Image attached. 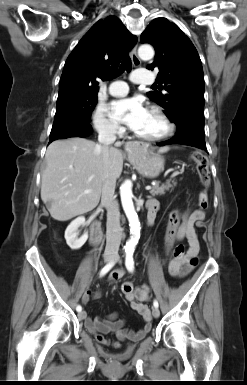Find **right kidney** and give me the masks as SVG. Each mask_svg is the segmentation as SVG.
Returning <instances> with one entry per match:
<instances>
[{
    "instance_id": "right-kidney-1",
    "label": "right kidney",
    "mask_w": 247,
    "mask_h": 385,
    "mask_svg": "<svg viewBox=\"0 0 247 385\" xmlns=\"http://www.w3.org/2000/svg\"><path fill=\"white\" fill-rule=\"evenodd\" d=\"M84 225L85 218L81 216L73 220L65 231L66 243L72 250L80 249L88 239L87 233L78 238V228Z\"/></svg>"
}]
</instances>
